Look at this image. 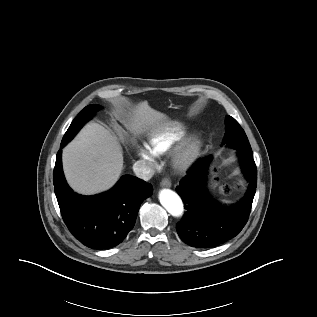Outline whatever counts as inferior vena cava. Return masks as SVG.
Wrapping results in <instances>:
<instances>
[{
    "label": "inferior vena cava",
    "mask_w": 317,
    "mask_h": 317,
    "mask_svg": "<svg viewBox=\"0 0 317 317\" xmlns=\"http://www.w3.org/2000/svg\"><path fill=\"white\" fill-rule=\"evenodd\" d=\"M133 171L138 178L145 181L150 180L155 174L152 164L144 160L136 161L133 164Z\"/></svg>",
    "instance_id": "inferior-vena-cava-1"
}]
</instances>
